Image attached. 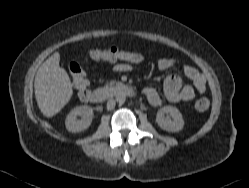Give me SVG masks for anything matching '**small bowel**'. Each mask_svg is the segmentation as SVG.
Masks as SVG:
<instances>
[{
    "instance_id": "obj_1",
    "label": "small bowel",
    "mask_w": 249,
    "mask_h": 188,
    "mask_svg": "<svg viewBox=\"0 0 249 188\" xmlns=\"http://www.w3.org/2000/svg\"><path fill=\"white\" fill-rule=\"evenodd\" d=\"M129 54L132 58L123 60L126 63L116 65V71H129L131 69L129 63H139L142 60L140 53L129 52ZM157 65L161 70H169L176 66V62L171 58L163 57L158 60ZM182 70L184 76L190 83H183L182 79L177 75H170L165 79L164 96L169 102L178 103L191 101L194 99L196 92L202 94L206 91V81L196 68L185 65L182 67ZM143 94L151 105L160 106L162 104V97L154 87L144 88Z\"/></svg>"
}]
</instances>
